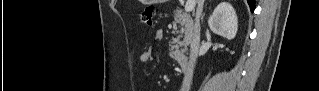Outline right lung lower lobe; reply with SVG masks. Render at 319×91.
<instances>
[{
	"label": "right lung lower lobe",
	"instance_id": "right-lung-lower-lobe-1",
	"mask_svg": "<svg viewBox=\"0 0 319 91\" xmlns=\"http://www.w3.org/2000/svg\"><path fill=\"white\" fill-rule=\"evenodd\" d=\"M248 4H249V7L251 9V12L254 11L255 9V0H247Z\"/></svg>",
	"mask_w": 319,
	"mask_h": 91
}]
</instances>
